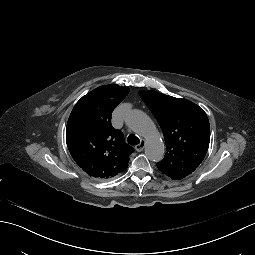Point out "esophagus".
Segmentation results:
<instances>
[{
    "label": "esophagus",
    "mask_w": 255,
    "mask_h": 255,
    "mask_svg": "<svg viewBox=\"0 0 255 255\" xmlns=\"http://www.w3.org/2000/svg\"><path fill=\"white\" fill-rule=\"evenodd\" d=\"M145 147V140H141L139 144L135 146L137 152H141Z\"/></svg>",
    "instance_id": "34e87169"
}]
</instances>
